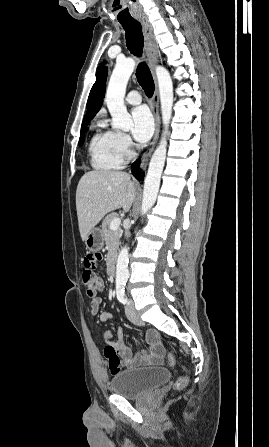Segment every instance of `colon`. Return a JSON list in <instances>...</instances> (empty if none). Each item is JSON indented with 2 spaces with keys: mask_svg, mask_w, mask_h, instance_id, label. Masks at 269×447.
<instances>
[{
  "mask_svg": "<svg viewBox=\"0 0 269 447\" xmlns=\"http://www.w3.org/2000/svg\"><path fill=\"white\" fill-rule=\"evenodd\" d=\"M85 262L83 263V271H82V281L86 289V296L88 298H94L97 295V292L103 288V280L95 271H102L103 264L101 261V254L98 251L92 253H85L84 255ZM128 356L129 353L127 352ZM104 356L107 360L108 371L116 376L121 373V359L115 350V348L111 346H105L104 348ZM176 356L174 354H169L165 361L168 365H173L176 362ZM177 389H182L183 387L189 386V379L186 375H182L176 379L175 384Z\"/></svg>",
  "mask_w": 269,
  "mask_h": 447,
  "instance_id": "1",
  "label": "colon"
}]
</instances>
